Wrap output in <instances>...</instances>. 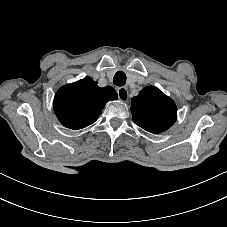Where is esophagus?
<instances>
[{
    "label": "esophagus",
    "mask_w": 227,
    "mask_h": 227,
    "mask_svg": "<svg viewBox=\"0 0 227 227\" xmlns=\"http://www.w3.org/2000/svg\"><path fill=\"white\" fill-rule=\"evenodd\" d=\"M118 98L122 102H127L129 99V92L126 87H117L116 88Z\"/></svg>",
    "instance_id": "34e87169"
}]
</instances>
